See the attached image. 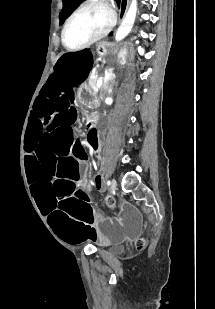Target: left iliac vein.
I'll return each instance as SVG.
<instances>
[{"instance_id": "1", "label": "left iliac vein", "mask_w": 215, "mask_h": 309, "mask_svg": "<svg viewBox=\"0 0 215 309\" xmlns=\"http://www.w3.org/2000/svg\"><path fill=\"white\" fill-rule=\"evenodd\" d=\"M116 188H117V181L113 178L110 182V191L114 193Z\"/></svg>"}]
</instances>
